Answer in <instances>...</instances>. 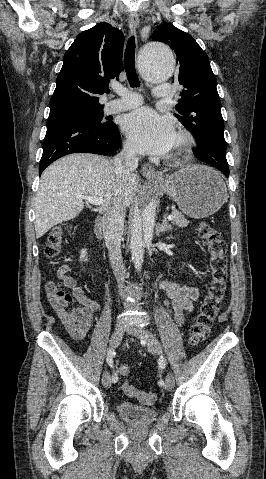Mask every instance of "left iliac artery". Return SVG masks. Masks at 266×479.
<instances>
[{"mask_svg": "<svg viewBox=\"0 0 266 479\" xmlns=\"http://www.w3.org/2000/svg\"><path fill=\"white\" fill-rule=\"evenodd\" d=\"M157 366H158V370L159 371H162L164 369H166V361L163 357L160 358V361L157 363ZM159 386H164L165 385V382L160 379L159 382H158Z\"/></svg>", "mask_w": 266, "mask_h": 479, "instance_id": "left-iliac-artery-1", "label": "left iliac artery"}]
</instances>
